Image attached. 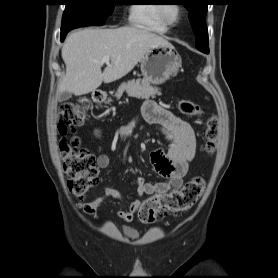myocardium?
Here are the masks:
<instances>
[{
	"label": "myocardium",
	"mask_w": 278,
	"mask_h": 278,
	"mask_svg": "<svg viewBox=\"0 0 278 278\" xmlns=\"http://www.w3.org/2000/svg\"><path fill=\"white\" fill-rule=\"evenodd\" d=\"M169 6H171V5H161L160 17L167 26H175L181 21L183 15H184V7L182 5H175L179 11V14L176 19H171V18H169L168 14H167V9Z\"/></svg>",
	"instance_id": "obj_1"
}]
</instances>
